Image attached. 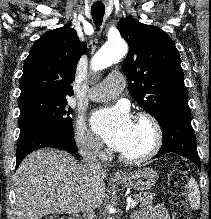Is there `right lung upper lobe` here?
I'll use <instances>...</instances> for the list:
<instances>
[{"mask_svg":"<svg viewBox=\"0 0 211 219\" xmlns=\"http://www.w3.org/2000/svg\"><path fill=\"white\" fill-rule=\"evenodd\" d=\"M69 26L44 33L32 46L20 78V100L34 97L68 98L80 57L86 52Z\"/></svg>","mask_w":211,"mask_h":219,"instance_id":"cb5924a9","label":"right lung upper lobe"}]
</instances>
